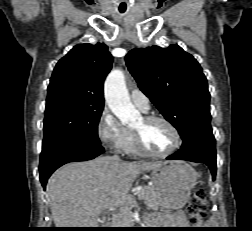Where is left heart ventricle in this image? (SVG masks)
Returning <instances> with one entry per match:
<instances>
[{
    "mask_svg": "<svg viewBox=\"0 0 252 231\" xmlns=\"http://www.w3.org/2000/svg\"><path fill=\"white\" fill-rule=\"evenodd\" d=\"M132 129L142 134L145 146L152 152L164 153L174 144L172 131L162 122L145 124L143 119H140Z\"/></svg>",
    "mask_w": 252,
    "mask_h": 231,
    "instance_id": "1",
    "label": "left heart ventricle"
}]
</instances>
